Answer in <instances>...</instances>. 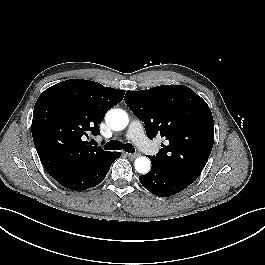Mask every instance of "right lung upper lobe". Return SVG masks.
Listing matches in <instances>:
<instances>
[{
  "label": "right lung upper lobe",
  "mask_w": 265,
  "mask_h": 265,
  "mask_svg": "<svg viewBox=\"0 0 265 265\" xmlns=\"http://www.w3.org/2000/svg\"><path fill=\"white\" fill-rule=\"evenodd\" d=\"M125 91L83 79H71L46 89L33 113L32 136L40 160L51 176L88 165L110 154L85 141L100 134L105 113L122 101Z\"/></svg>",
  "instance_id": "1"
}]
</instances>
